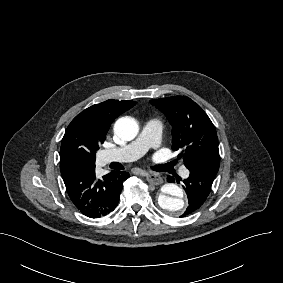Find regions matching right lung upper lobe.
<instances>
[{"instance_id": "1", "label": "right lung upper lobe", "mask_w": 283, "mask_h": 283, "mask_svg": "<svg viewBox=\"0 0 283 283\" xmlns=\"http://www.w3.org/2000/svg\"><path fill=\"white\" fill-rule=\"evenodd\" d=\"M136 105L135 101L107 100L78 114L69 124L62 140L68 138L106 139L107 131L115 118Z\"/></svg>"}]
</instances>
